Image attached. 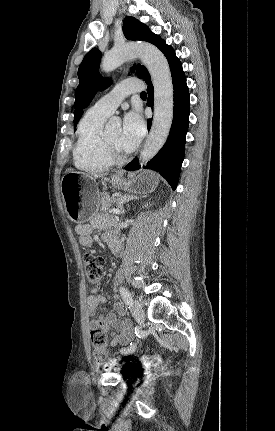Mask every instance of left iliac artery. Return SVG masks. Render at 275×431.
Instances as JSON below:
<instances>
[{"mask_svg": "<svg viewBox=\"0 0 275 431\" xmlns=\"http://www.w3.org/2000/svg\"><path fill=\"white\" fill-rule=\"evenodd\" d=\"M119 291H120L121 297H122L123 301L125 302V304L130 307L132 305V301H133L130 292L125 287H120ZM134 351H135V345L134 344L133 345L131 344L130 347L124 348L121 350V352L124 354L132 353Z\"/></svg>", "mask_w": 275, "mask_h": 431, "instance_id": "44dca946", "label": "left iliac artery"}]
</instances>
